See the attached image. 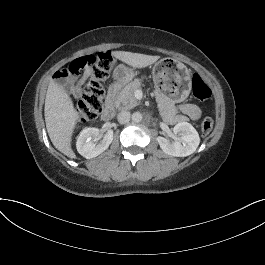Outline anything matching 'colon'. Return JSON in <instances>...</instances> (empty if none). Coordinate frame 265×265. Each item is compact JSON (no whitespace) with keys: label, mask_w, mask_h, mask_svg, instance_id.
Listing matches in <instances>:
<instances>
[{"label":"colon","mask_w":265,"mask_h":265,"mask_svg":"<svg viewBox=\"0 0 265 265\" xmlns=\"http://www.w3.org/2000/svg\"><path fill=\"white\" fill-rule=\"evenodd\" d=\"M113 63L114 58L111 53L104 51L76 58L55 73L56 78L62 79L83 69L91 71L92 78L76 107L82 121L93 119L102 111L105 94L103 82L107 79ZM192 94L200 102L206 101L211 96L210 87L198 74L192 77ZM200 128L203 135L209 134L213 129V120L205 117Z\"/></svg>","instance_id":"obj_1"}]
</instances>
